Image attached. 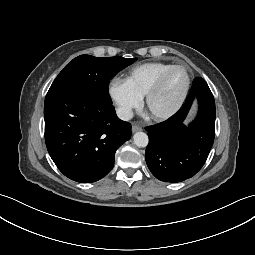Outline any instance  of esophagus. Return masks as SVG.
Wrapping results in <instances>:
<instances>
[{
  "mask_svg": "<svg viewBox=\"0 0 255 255\" xmlns=\"http://www.w3.org/2000/svg\"><path fill=\"white\" fill-rule=\"evenodd\" d=\"M140 130H142V128L140 126H138V125H133L132 126V132H137V131H140Z\"/></svg>",
  "mask_w": 255,
  "mask_h": 255,
  "instance_id": "esophagus-1",
  "label": "esophagus"
}]
</instances>
